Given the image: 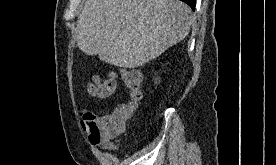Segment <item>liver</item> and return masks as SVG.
Segmentation results:
<instances>
[{"instance_id":"liver-1","label":"liver","mask_w":276,"mask_h":165,"mask_svg":"<svg viewBox=\"0 0 276 165\" xmlns=\"http://www.w3.org/2000/svg\"><path fill=\"white\" fill-rule=\"evenodd\" d=\"M191 14L179 0H86L76 24L77 45L105 63L140 67L188 35Z\"/></svg>"}]
</instances>
